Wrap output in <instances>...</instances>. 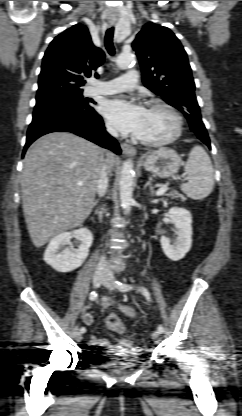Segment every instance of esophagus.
<instances>
[{
	"label": "esophagus",
	"instance_id": "1",
	"mask_svg": "<svg viewBox=\"0 0 242 416\" xmlns=\"http://www.w3.org/2000/svg\"><path fill=\"white\" fill-rule=\"evenodd\" d=\"M121 149L125 155L135 156L136 154L135 148L127 143H121Z\"/></svg>",
	"mask_w": 242,
	"mask_h": 416
}]
</instances>
